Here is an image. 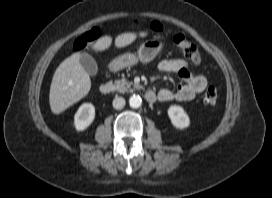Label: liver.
<instances>
[{
	"instance_id": "obj_1",
	"label": "liver",
	"mask_w": 272,
	"mask_h": 198,
	"mask_svg": "<svg viewBox=\"0 0 272 198\" xmlns=\"http://www.w3.org/2000/svg\"><path fill=\"white\" fill-rule=\"evenodd\" d=\"M146 32L139 36H146ZM137 38L136 33H123L115 38V46L118 48L130 45ZM112 44L110 36L99 39L93 49L104 51ZM80 53H75L66 58L56 69L49 92V103L54 114H60L67 108L85 97L91 88L89 74L80 64Z\"/></svg>"
}]
</instances>
